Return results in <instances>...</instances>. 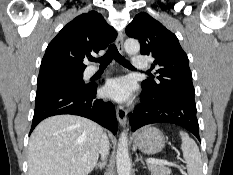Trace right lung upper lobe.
Masks as SVG:
<instances>
[{
    "mask_svg": "<svg viewBox=\"0 0 233 175\" xmlns=\"http://www.w3.org/2000/svg\"><path fill=\"white\" fill-rule=\"evenodd\" d=\"M115 29L96 11L81 14L69 22L48 45L38 78L83 73V60L98 53L116 39Z\"/></svg>",
    "mask_w": 233,
    "mask_h": 175,
    "instance_id": "obj_1",
    "label": "right lung upper lobe"
}]
</instances>
